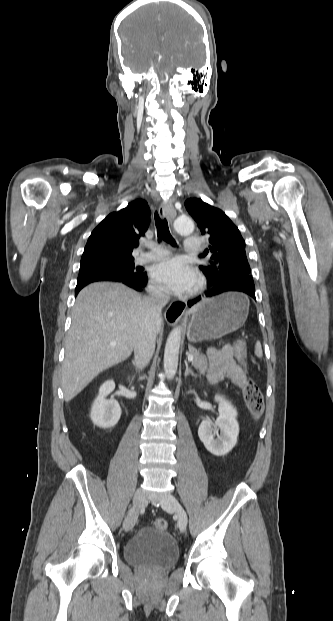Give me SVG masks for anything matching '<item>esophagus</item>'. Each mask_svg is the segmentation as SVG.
I'll return each mask as SVG.
<instances>
[{"mask_svg": "<svg viewBox=\"0 0 333 621\" xmlns=\"http://www.w3.org/2000/svg\"><path fill=\"white\" fill-rule=\"evenodd\" d=\"M160 216L166 217L172 222L176 217V210L171 201L162 202L159 207ZM186 309L185 302H174L170 304L165 311V319L170 325H175L179 322Z\"/></svg>", "mask_w": 333, "mask_h": 621, "instance_id": "esophagus-1", "label": "esophagus"}]
</instances>
